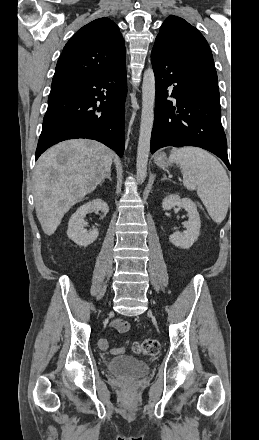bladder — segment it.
<instances>
[{
	"instance_id": "obj_1",
	"label": "bladder",
	"mask_w": 259,
	"mask_h": 440,
	"mask_svg": "<svg viewBox=\"0 0 259 440\" xmlns=\"http://www.w3.org/2000/svg\"><path fill=\"white\" fill-rule=\"evenodd\" d=\"M107 370L117 376L140 377L149 372V365L136 357L119 355L109 360Z\"/></svg>"
}]
</instances>
